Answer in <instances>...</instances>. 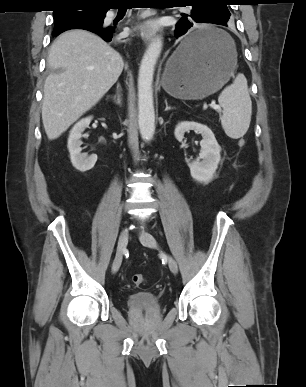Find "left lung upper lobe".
Segmentation results:
<instances>
[{
	"mask_svg": "<svg viewBox=\"0 0 306 387\" xmlns=\"http://www.w3.org/2000/svg\"><path fill=\"white\" fill-rule=\"evenodd\" d=\"M185 4L191 5L192 11L191 15L182 14V16H193L206 23L224 25L231 15L226 0H186Z\"/></svg>",
	"mask_w": 306,
	"mask_h": 387,
	"instance_id": "left-lung-upper-lobe-1",
	"label": "left lung upper lobe"
}]
</instances>
